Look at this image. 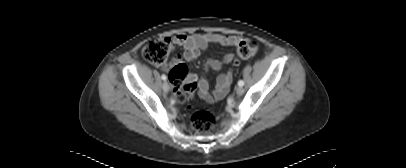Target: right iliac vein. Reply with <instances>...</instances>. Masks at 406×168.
<instances>
[{
	"label": "right iliac vein",
	"mask_w": 406,
	"mask_h": 168,
	"mask_svg": "<svg viewBox=\"0 0 406 168\" xmlns=\"http://www.w3.org/2000/svg\"><path fill=\"white\" fill-rule=\"evenodd\" d=\"M162 89L164 91V93H168L169 92V84L167 81H164L163 85H162Z\"/></svg>",
	"instance_id": "1"
}]
</instances>
